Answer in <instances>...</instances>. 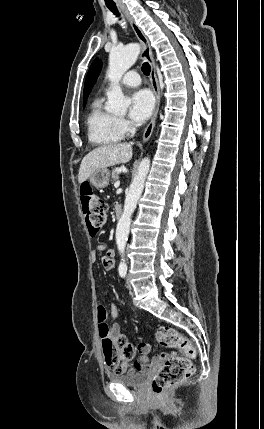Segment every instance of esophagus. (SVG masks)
<instances>
[{"instance_id":"esophagus-1","label":"esophagus","mask_w":264,"mask_h":429,"mask_svg":"<svg viewBox=\"0 0 264 429\" xmlns=\"http://www.w3.org/2000/svg\"><path fill=\"white\" fill-rule=\"evenodd\" d=\"M120 8H121L122 12L124 13V15L126 16L127 20L129 21V23L132 27V30L135 33L137 39L139 40V42L142 45V53H141L142 59L147 61L151 67L150 80H151L152 90H153V93L155 96V106H154V110H153L151 120H150L149 124L147 125V127L143 133V136H142V142H146L150 138V136L152 135V132H153V129L155 126V122H156V118H157V114H158V110H159V103H160V92H159L158 79H157V75H156V68H155V63H154V59H153V55H152V50H151V47H150V44H149L147 37L144 35L141 28L137 25L134 18L131 16L129 11L127 10V8L122 4H120Z\"/></svg>"}]
</instances>
